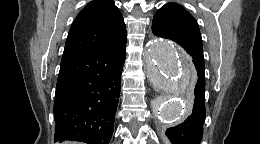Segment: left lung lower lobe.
I'll use <instances>...</instances> for the list:
<instances>
[{
	"instance_id": "0a47b994",
	"label": "left lung lower lobe",
	"mask_w": 260,
	"mask_h": 144,
	"mask_svg": "<svg viewBox=\"0 0 260 144\" xmlns=\"http://www.w3.org/2000/svg\"><path fill=\"white\" fill-rule=\"evenodd\" d=\"M186 52L197 61L203 57V51L194 47H183ZM190 103H193V109L187 119L166 130V136L172 144H200L203 136V124L206 117L205 110V76L199 74L195 88L189 95Z\"/></svg>"
}]
</instances>
